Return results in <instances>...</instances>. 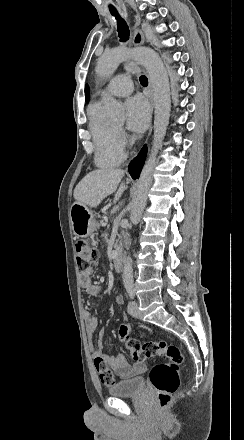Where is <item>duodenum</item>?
Instances as JSON below:
<instances>
[{
	"instance_id": "1",
	"label": "duodenum",
	"mask_w": 244,
	"mask_h": 440,
	"mask_svg": "<svg viewBox=\"0 0 244 440\" xmlns=\"http://www.w3.org/2000/svg\"><path fill=\"white\" fill-rule=\"evenodd\" d=\"M113 267L115 272L121 273L123 269V255L121 252L115 253L113 257Z\"/></svg>"
}]
</instances>
